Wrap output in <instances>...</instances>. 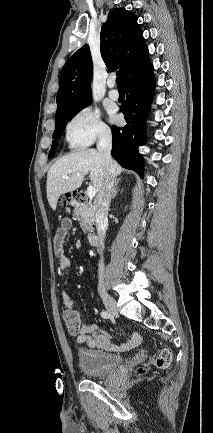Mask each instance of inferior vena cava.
Returning a JSON list of instances; mask_svg holds the SVG:
<instances>
[{
  "label": "inferior vena cava",
  "mask_w": 213,
  "mask_h": 433,
  "mask_svg": "<svg viewBox=\"0 0 213 433\" xmlns=\"http://www.w3.org/2000/svg\"><path fill=\"white\" fill-rule=\"evenodd\" d=\"M112 137L109 131H104L99 134L97 149L105 161V177L101 191L99 192L95 202V218L98 228V236L100 240L99 253L102 254L104 249V239L106 235V227L108 225V211L112 197L114 183L116 181L115 169L111 158ZM100 293L105 291L104 287V264L103 259L99 263V285Z\"/></svg>",
  "instance_id": "1"
}]
</instances>
